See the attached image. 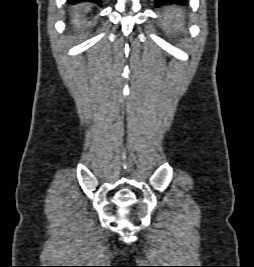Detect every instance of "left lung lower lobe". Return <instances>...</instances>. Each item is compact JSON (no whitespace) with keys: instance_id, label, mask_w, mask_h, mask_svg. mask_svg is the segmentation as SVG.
<instances>
[{"instance_id":"0a47b994","label":"left lung lower lobe","mask_w":254,"mask_h":267,"mask_svg":"<svg viewBox=\"0 0 254 267\" xmlns=\"http://www.w3.org/2000/svg\"><path fill=\"white\" fill-rule=\"evenodd\" d=\"M186 0H155L156 5L168 4V3H179L184 4Z\"/></svg>"}]
</instances>
